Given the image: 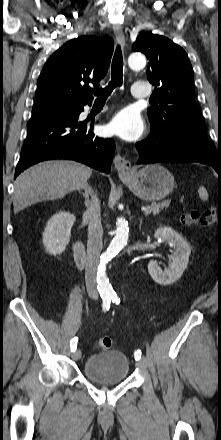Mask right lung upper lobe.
<instances>
[{"mask_svg":"<svg viewBox=\"0 0 221 440\" xmlns=\"http://www.w3.org/2000/svg\"><path fill=\"white\" fill-rule=\"evenodd\" d=\"M112 53L110 37L81 36L66 42L48 59L40 74L32 112L91 104L86 85H99Z\"/></svg>","mask_w":221,"mask_h":440,"instance_id":"cb5924a9","label":"right lung upper lobe"}]
</instances>
